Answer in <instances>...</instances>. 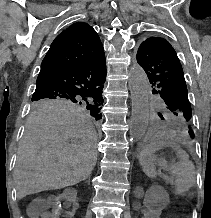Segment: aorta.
I'll return each mask as SVG.
<instances>
[{
  "label": "aorta",
  "instance_id": "obj_1",
  "mask_svg": "<svg viewBox=\"0 0 211 218\" xmlns=\"http://www.w3.org/2000/svg\"><path fill=\"white\" fill-rule=\"evenodd\" d=\"M129 89L132 100L130 138L139 140L145 133L149 122L150 85L144 70L134 65L130 70Z\"/></svg>",
  "mask_w": 211,
  "mask_h": 218
}]
</instances>
